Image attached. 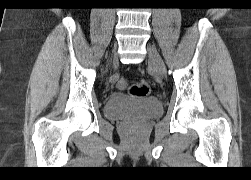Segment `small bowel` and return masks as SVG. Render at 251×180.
I'll return each instance as SVG.
<instances>
[{"mask_svg": "<svg viewBox=\"0 0 251 180\" xmlns=\"http://www.w3.org/2000/svg\"><path fill=\"white\" fill-rule=\"evenodd\" d=\"M125 86H126L125 81L123 80L119 81V87H125Z\"/></svg>", "mask_w": 251, "mask_h": 180, "instance_id": "1", "label": "small bowel"}]
</instances>
